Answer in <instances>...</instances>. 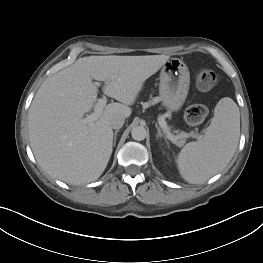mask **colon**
<instances>
[{
	"label": "colon",
	"mask_w": 263,
	"mask_h": 263,
	"mask_svg": "<svg viewBox=\"0 0 263 263\" xmlns=\"http://www.w3.org/2000/svg\"><path fill=\"white\" fill-rule=\"evenodd\" d=\"M217 74L210 69H200L195 75V83L202 91L210 90L217 83ZM208 110L204 105L192 104L185 111V120L191 126L200 125L206 118Z\"/></svg>",
	"instance_id": "obj_1"
}]
</instances>
